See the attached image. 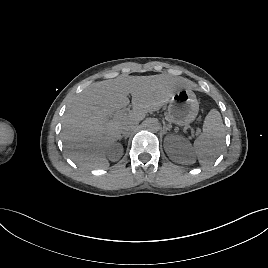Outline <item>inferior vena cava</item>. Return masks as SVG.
Here are the masks:
<instances>
[{
	"mask_svg": "<svg viewBox=\"0 0 268 268\" xmlns=\"http://www.w3.org/2000/svg\"><path fill=\"white\" fill-rule=\"evenodd\" d=\"M137 127V124L132 121H126L121 124L120 130L123 135H129Z\"/></svg>",
	"mask_w": 268,
	"mask_h": 268,
	"instance_id": "obj_1",
	"label": "inferior vena cava"
}]
</instances>
